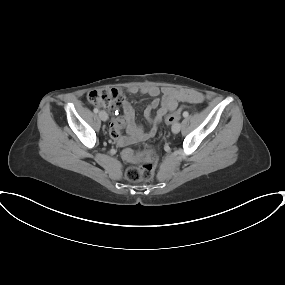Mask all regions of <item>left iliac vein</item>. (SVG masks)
Returning <instances> with one entry per match:
<instances>
[{
  "label": "left iliac vein",
  "instance_id": "4c4485c4",
  "mask_svg": "<svg viewBox=\"0 0 285 285\" xmlns=\"http://www.w3.org/2000/svg\"><path fill=\"white\" fill-rule=\"evenodd\" d=\"M180 128H181V125L180 123H175L173 126H172V132L173 133H178L180 131Z\"/></svg>",
  "mask_w": 285,
  "mask_h": 285
}]
</instances>
